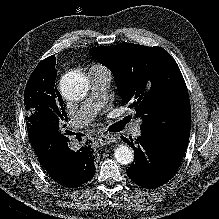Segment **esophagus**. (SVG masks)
Here are the masks:
<instances>
[{
    "instance_id": "obj_1",
    "label": "esophagus",
    "mask_w": 219,
    "mask_h": 219,
    "mask_svg": "<svg viewBox=\"0 0 219 219\" xmlns=\"http://www.w3.org/2000/svg\"><path fill=\"white\" fill-rule=\"evenodd\" d=\"M98 140H99L101 145H107V144H110L112 142H115L116 138L113 135L102 134V135L98 136Z\"/></svg>"
}]
</instances>
